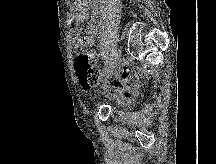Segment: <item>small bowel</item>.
<instances>
[{
    "label": "small bowel",
    "mask_w": 216,
    "mask_h": 164,
    "mask_svg": "<svg viewBox=\"0 0 216 164\" xmlns=\"http://www.w3.org/2000/svg\"><path fill=\"white\" fill-rule=\"evenodd\" d=\"M97 27L95 22H91L83 41L87 46H92L95 42ZM138 87V79L128 67H124L118 72L111 82H104L103 89L109 97L118 99L120 102L129 100L134 96Z\"/></svg>",
    "instance_id": "small-bowel-1"
}]
</instances>
